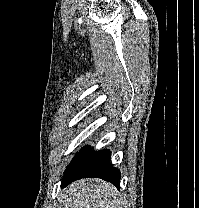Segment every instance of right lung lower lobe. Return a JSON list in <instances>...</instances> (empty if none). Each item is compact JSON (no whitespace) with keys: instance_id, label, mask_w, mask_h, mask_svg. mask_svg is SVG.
<instances>
[{"instance_id":"1","label":"right lung lower lobe","mask_w":199,"mask_h":208,"mask_svg":"<svg viewBox=\"0 0 199 208\" xmlns=\"http://www.w3.org/2000/svg\"><path fill=\"white\" fill-rule=\"evenodd\" d=\"M109 150L94 151L89 146L83 147L68 165L61 187L81 178L98 177L120 187V171L111 166Z\"/></svg>"}]
</instances>
